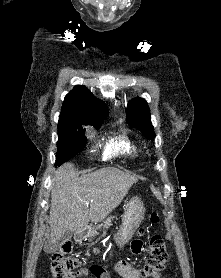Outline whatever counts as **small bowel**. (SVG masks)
I'll list each match as a JSON object with an SVG mask.
<instances>
[{
	"label": "small bowel",
	"instance_id": "c3829d8e",
	"mask_svg": "<svg viewBox=\"0 0 221 278\" xmlns=\"http://www.w3.org/2000/svg\"><path fill=\"white\" fill-rule=\"evenodd\" d=\"M143 247L142 240L137 237L131 243L132 251L136 254L140 253ZM89 270H79L72 274L69 278H85L89 274ZM113 273L121 278H141L140 270L136 269L129 261L121 260L113 268ZM92 274V273H91ZM95 278H111L110 273L102 267H98V271L93 273ZM158 278V277H157Z\"/></svg>",
	"mask_w": 221,
	"mask_h": 278
}]
</instances>
